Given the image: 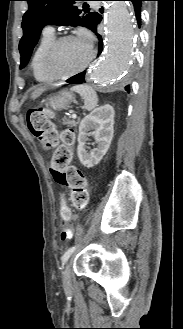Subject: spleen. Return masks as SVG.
Instances as JSON below:
<instances>
[{
    "mask_svg": "<svg viewBox=\"0 0 183 329\" xmlns=\"http://www.w3.org/2000/svg\"><path fill=\"white\" fill-rule=\"evenodd\" d=\"M84 99V106L88 111L93 110L98 104L96 91L88 85H77L71 88Z\"/></svg>",
    "mask_w": 183,
    "mask_h": 329,
    "instance_id": "1",
    "label": "spleen"
}]
</instances>
